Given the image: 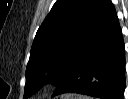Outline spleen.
I'll use <instances>...</instances> for the list:
<instances>
[{
	"label": "spleen",
	"mask_w": 128,
	"mask_h": 99,
	"mask_svg": "<svg viewBox=\"0 0 128 99\" xmlns=\"http://www.w3.org/2000/svg\"><path fill=\"white\" fill-rule=\"evenodd\" d=\"M79 99H89L88 97H84V96H79Z\"/></svg>",
	"instance_id": "3e777b00"
}]
</instances>
